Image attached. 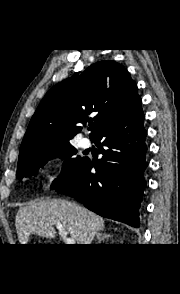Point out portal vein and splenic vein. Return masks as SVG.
I'll return each instance as SVG.
<instances>
[{
    "mask_svg": "<svg viewBox=\"0 0 180 294\" xmlns=\"http://www.w3.org/2000/svg\"><path fill=\"white\" fill-rule=\"evenodd\" d=\"M53 224L58 229L60 236L63 238V240L66 244H69V245L76 244V241L74 238L67 237V231H66L65 227L60 222H53Z\"/></svg>",
    "mask_w": 180,
    "mask_h": 294,
    "instance_id": "18ae733b",
    "label": "portal vein and splenic vein"
}]
</instances>
